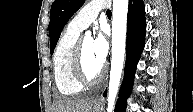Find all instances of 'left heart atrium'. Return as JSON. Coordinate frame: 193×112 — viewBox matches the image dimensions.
I'll use <instances>...</instances> for the list:
<instances>
[{"mask_svg": "<svg viewBox=\"0 0 193 112\" xmlns=\"http://www.w3.org/2000/svg\"><path fill=\"white\" fill-rule=\"evenodd\" d=\"M93 52L96 59L104 65L108 54V42L103 31H99L93 40Z\"/></svg>", "mask_w": 193, "mask_h": 112, "instance_id": "left-heart-atrium-1", "label": "left heart atrium"}]
</instances>
